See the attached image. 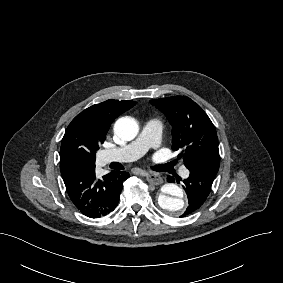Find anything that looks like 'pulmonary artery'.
I'll return each mask as SVG.
<instances>
[{
	"label": "pulmonary artery",
	"mask_w": 283,
	"mask_h": 283,
	"mask_svg": "<svg viewBox=\"0 0 283 283\" xmlns=\"http://www.w3.org/2000/svg\"><path fill=\"white\" fill-rule=\"evenodd\" d=\"M162 134V123L157 119L147 121L132 146H120L116 152H106V161H126L141 156H146L152 149L157 153L164 151V146L160 144ZM180 176L187 177L189 171L185 167L178 169Z\"/></svg>",
	"instance_id": "pulmonary-artery-1"
}]
</instances>
